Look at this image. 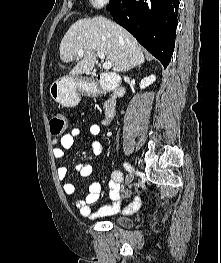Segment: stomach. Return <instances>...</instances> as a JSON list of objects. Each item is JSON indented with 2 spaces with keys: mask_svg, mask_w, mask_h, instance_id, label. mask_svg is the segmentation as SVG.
<instances>
[{
  "mask_svg": "<svg viewBox=\"0 0 221 263\" xmlns=\"http://www.w3.org/2000/svg\"><path fill=\"white\" fill-rule=\"evenodd\" d=\"M88 91V81L76 75L61 77L49 88L51 98L64 107H74L80 100V93Z\"/></svg>",
  "mask_w": 221,
  "mask_h": 263,
  "instance_id": "stomach-1",
  "label": "stomach"
}]
</instances>
